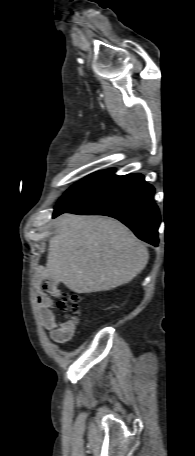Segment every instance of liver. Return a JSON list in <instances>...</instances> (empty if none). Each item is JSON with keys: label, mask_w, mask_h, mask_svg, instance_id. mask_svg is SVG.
<instances>
[{"label": "liver", "mask_w": 195, "mask_h": 456, "mask_svg": "<svg viewBox=\"0 0 195 456\" xmlns=\"http://www.w3.org/2000/svg\"><path fill=\"white\" fill-rule=\"evenodd\" d=\"M55 229L43 276L73 292L115 289L132 281L148 262L147 247L115 219L63 214Z\"/></svg>", "instance_id": "1"}]
</instances>
